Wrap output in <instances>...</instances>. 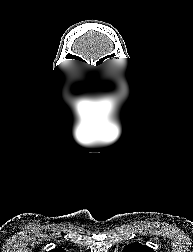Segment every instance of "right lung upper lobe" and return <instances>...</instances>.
<instances>
[{"mask_svg":"<svg viewBox=\"0 0 193 252\" xmlns=\"http://www.w3.org/2000/svg\"><path fill=\"white\" fill-rule=\"evenodd\" d=\"M50 252H65V250L63 248H59V249L51 250Z\"/></svg>","mask_w":193,"mask_h":252,"instance_id":"1","label":"right lung upper lobe"}]
</instances>
